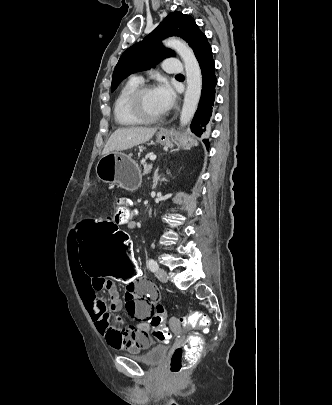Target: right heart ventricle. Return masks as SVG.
<instances>
[{
    "mask_svg": "<svg viewBox=\"0 0 332 405\" xmlns=\"http://www.w3.org/2000/svg\"><path fill=\"white\" fill-rule=\"evenodd\" d=\"M140 85V82L132 79L126 82L119 90L113 106L114 118L117 124L130 127L141 123L129 111V99Z\"/></svg>",
    "mask_w": 332,
    "mask_h": 405,
    "instance_id": "e07e8e85",
    "label": "right heart ventricle"
}]
</instances>
